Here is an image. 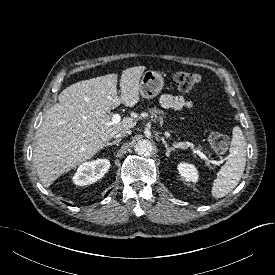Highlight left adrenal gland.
I'll list each match as a JSON object with an SVG mask.
<instances>
[{
    "label": "left adrenal gland",
    "instance_id": "a2214340",
    "mask_svg": "<svg viewBox=\"0 0 275 275\" xmlns=\"http://www.w3.org/2000/svg\"><path fill=\"white\" fill-rule=\"evenodd\" d=\"M162 142H163V144L165 145V148H166V156L169 157L170 153L173 151V149L168 146V144L164 140V138H162Z\"/></svg>",
    "mask_w": 275,
    "mask_h": 275
}]
</instances>
